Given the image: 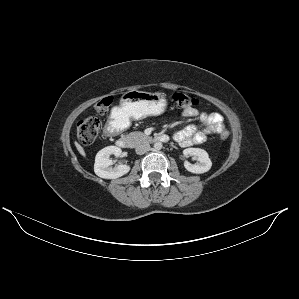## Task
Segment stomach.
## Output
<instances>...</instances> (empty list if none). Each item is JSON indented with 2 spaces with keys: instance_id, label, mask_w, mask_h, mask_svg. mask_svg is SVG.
Returning a JSON list of instances; mask_svg holds the SVG:
<instances>
[{
  "instance_id": "stomach-1",
  "label": "stomach",
  "mask_w": 299,
  "mask_h": 299,
  "mask_svg": "<svg viewBox=\"0 0 299 299\" xmlns=\"http://www.w3.org/2000/svg\"><path fill=\"white\" fill-rule=\"evenodd\" d=\"M167 106L163 93L138 90L125 92L120 100V111L127 119H142L162 114Z\"/></svg>"
}]
</instances>
